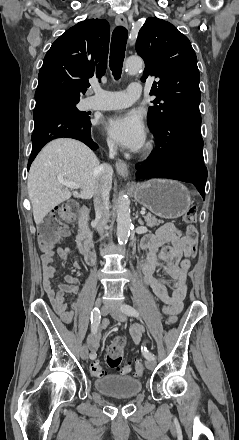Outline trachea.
<instances>
[{
  "label": "trachea",
  "mask_w": 239,
  "mask_h": 440,
  "mask_svg": "<svg viewBox=\"0 0 239 440\" xmlns=\"http://www.w3.org/2000/svg\"><path fill=\"white\" fill-rule=\"evenodd\" d=\"M128 39V31L123 26L114 29L111 39L109 66L115 80L120 79Z\"/></svg>",
  "instance_id": "obj_1"
}]
</instances>
